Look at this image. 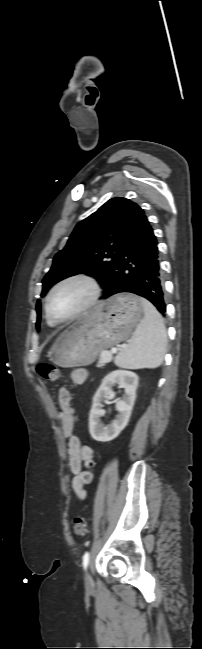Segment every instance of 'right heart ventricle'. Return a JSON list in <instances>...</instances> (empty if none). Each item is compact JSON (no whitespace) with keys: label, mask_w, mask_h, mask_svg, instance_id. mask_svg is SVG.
<instances>
[{"label":"right heart ventricle","mask_w":202,"mask_h":649,"mask_svg":"<svg viewBox=\"0 0 202 649\" xmlns=\"http://www.w3.org/2000/svg\"><path fill=\"white\" fill-rule=\"evenodd\" d=\"M47 320H48V323H49L50 325H53V324H54V323H52L48 318H47Z\"/></svg>","instance_id":"right-heart-ventricle-1"}]
</instances>
